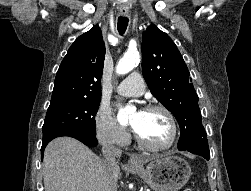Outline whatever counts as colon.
I'll return each instance as SVG.
<instances>
[{
  "label": "colon",
  "mask_w": 251,
  "mask_h": 191,
  "mask_svg": "<svg viewBox=\"0 0 251 191\" xmlns=\"http://www.w3.org/2000/svg\"><path fill=\"white\" fill-rule=\"evenodd\" d=\"M183 191H195V189L192 187H186L183 189Z\"/></svg>",
  "instance_id": "1"
}]
</instances>
